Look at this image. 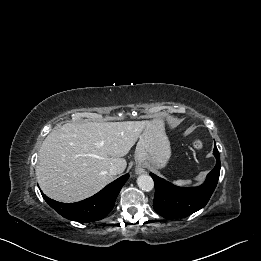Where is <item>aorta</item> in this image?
I'll list each match as a JSON object with an SVG mask.
<instances>
[{
	"label": "aorta",
	"mask_w": 261,
	"mask_h": 261,
	"mask_svg": "<svg viewBox=\"0 0 261 261\" xmlns=\"http://www.w3.org/2000/svg\"><path fill=\"white\" fill-rule=\"evenodd\" d=\"M138 187L145 191L149 192L154 188V181L150 175L142 174L137 178Z\"/></svg>",
	"instance_id": "obj_1"
}]
</instances>
